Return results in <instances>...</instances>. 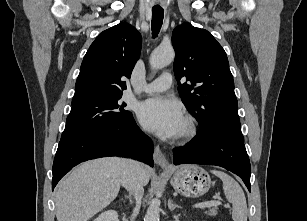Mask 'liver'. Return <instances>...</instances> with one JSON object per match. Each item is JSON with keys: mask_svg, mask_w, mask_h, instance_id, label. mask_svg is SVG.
Here are the masks:
<instances>
[{"mask_svg": "<svg viewBox=\"0 0 307 221\" xmlns=\"http://www.w3.org/2000/svg\"><path fill=\"white\" fill-rule=\"evenodd\" d=\"M125 164V159L106 157L75 168L55 189L57 221H88L106 208L118 195ZM135 171L147 185L150 168L139 163Z\"/></svg>", "mask_w": 307, "mask_h": 221, "instance_id": "1", "label": "liver"}]
</instances>
